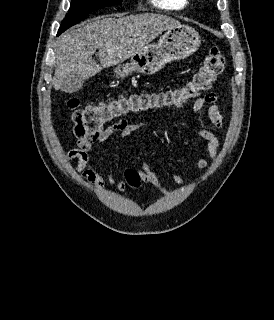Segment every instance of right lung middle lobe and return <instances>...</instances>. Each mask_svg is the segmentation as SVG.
Here are the masks:
<instances>
[{
    "label": "right lung middle lobe",
    "instance_id": "obj_1",
    "mask_svg": "<svg viewBox=\"0 0 274 320\" xmlns=\"http://www.w3.org/2000/svg\"><path fill=\"white\" fill-rule=\"evenodd\" d=\"M122 0H72L69 12L62 21L58 35L71 26L79 23L91 12L112 5L120 4Z\"/></svg>",
    "mask_w": 274,
    "mask_h": 320
}]
</instances>
